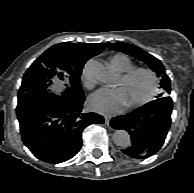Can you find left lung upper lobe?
I'll use <instances>...</instances> for the list:
<instances>
[{
	"label": "left lung upper lobe",
	"mask_w": 194,
	"mask_h": 193,
	"mask_svg": "<svg viewBox=\"0 0 194 193\" xmlns=\"http://www.w3.org/2000/svg\"><path fill=\"white\" fill-rule=\"evenodd\" d=\"M108 46L116 51H122L132 57H135L145 63H147L153 71L157 73L158 76L162 77L161 87L164 89V92L161 93L160 97H165L167 94H170L171 85L170 79L165 73V69L160 60L152 56L151 54L145 52L141 48L126 43H108Z\"/></svg>",
	"instance_id": "1"
}]
</instances>
